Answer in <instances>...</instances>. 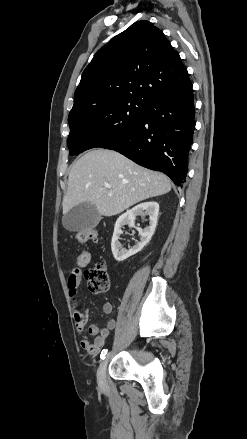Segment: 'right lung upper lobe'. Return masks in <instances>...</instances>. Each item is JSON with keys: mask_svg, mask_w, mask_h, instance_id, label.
<instances>
[{"mask_svg": "<svg viewBox=\"0 0 247 439\" xmlns=\"http://www.w3.org/2000/svg\"><path fill=\"white\" fill-rule=\"evenodd\" d=\"M192 86L186 67L161 30L135 22L99 49L85 68L69 117L110 102L149 104Z\"/></svg>", "mask_w": 247, "mask_h": 439, "instance_id": "obj_1", "label": "right lung upper lobe"}]
</instances>
